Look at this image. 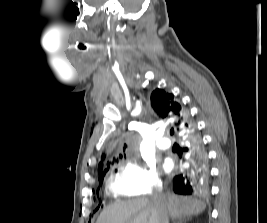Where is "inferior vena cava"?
<instances>
[{
	"label": "inferior vena cava",
	"instance_id": "602c4592",
	"mask_svg": "<svg viewBox=\"0 0 267 223\" xmlns=\"http://www.w3.org/2000/svg\"><path fill=\"white\" fill-rule=\"evenodd\" d=\"M152 199L159 209V223H168L167 211L164 206L165 195L163 194L162 187L155 190Z\"/></svg>",
	"mask_w": 267,
	"mask_h": 223
}]
</instances>
